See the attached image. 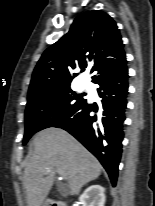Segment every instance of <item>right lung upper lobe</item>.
<instances>
[{"mask_svg": "<svg viewBox=\"0 0 155 206\" xmlns=\"http://www.w3.org/2000/svg\"><path fill=\"white\" fill-rule=\"evenodd\" d=\"M123 43L114 20L101 11L77 17L69 32L51 45L38 61L28 96L62 85H70V72L93 65L92 82L117 72L126 63ZM77 74L75 73L74 76Z\"/></svg>", "mask_w": 155, "mask_h": 206, "instance_id": "1", "label": "right lung upper lobe"}]
</instances>
